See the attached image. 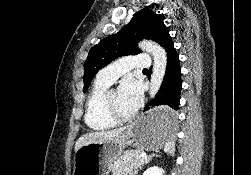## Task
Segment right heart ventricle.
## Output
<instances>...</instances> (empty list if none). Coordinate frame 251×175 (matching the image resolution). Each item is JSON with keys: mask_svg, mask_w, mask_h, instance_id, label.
Listing matches in <instances>:
<instances>
[{"mask_svg": "<svg viewBox=\"0 0 251 175\" xmlns=\"http://www.w3.org/2000/svg\"><path fill=\"white\" fill-rule=\"evenodd\" d=\"M109 84L95 80L87 95L84 106V121L93 131H106L115 126L116 121L108 117L102 107V99Z\"/></svg>", "mask_w": 251, "mask_h": 175, "instance_id": "obj_1", "label": "right heart ventricle"}]
</instances>
